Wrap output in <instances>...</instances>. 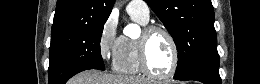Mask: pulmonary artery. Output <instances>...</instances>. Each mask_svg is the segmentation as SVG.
Masks as SVG:
<instances>
[{
	"label": "pulmonary artery",
	"instance_id": "pulmonary-artery-1",
	"mask_svg": "<svg viewBox=\"0 0 260 84\" xmlns=\"http://www.w3.org/2000/svg\"><path fill=\"white\" fill-rule=\"evenodd\" d=\"M127 11L130 15L137 16L144 22H148L150 11L144 1H131L127 5Z\"/></svg>",
	"mask_w": 260,
	"mask_h": 84
}]
</instances>
